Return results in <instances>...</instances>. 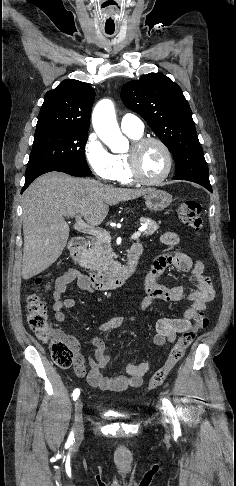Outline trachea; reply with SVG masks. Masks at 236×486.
Wrapping results in <instances>:
<instances>
[{
    "instance_id": "3493384b",
    "label": "trachea",
    "mask_w": 236,
    "mask_h": 486,
    "mask_svg": "<svg viewBox=\"0 0 236 486\" xmlns=\"http://www.w3.org/2000/svg\"><path fill=\"white\" fill-rule=\"evenodd\" d=\"M107 34L111 35L113 34V32H110V31H106Z\"/></svg>"
}]
</instances>
